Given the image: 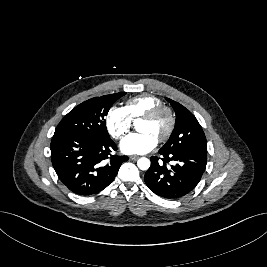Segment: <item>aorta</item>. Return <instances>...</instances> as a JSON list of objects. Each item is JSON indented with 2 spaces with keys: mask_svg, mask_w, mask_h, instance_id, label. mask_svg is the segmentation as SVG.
Masks as SVG:
<instances>
[{
  "mask_svg": "<svg viewBox=\"0 0 267 267\" xmlns=\"http://www.w3.org/2000/svg\"><path fill=\"white\" fill-rule=\"evenodd\" d=\"M150 160L148 158L142 157L137 161V166L141 170H148L150 167Z\"/></svg>",
  "mask_w": 267,
  "mask_h": 267,
  "instance_id": "762f6f07",
  "label": "aorta"
}]
</instances>
